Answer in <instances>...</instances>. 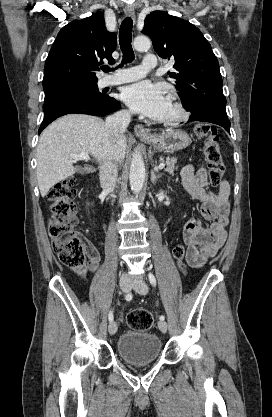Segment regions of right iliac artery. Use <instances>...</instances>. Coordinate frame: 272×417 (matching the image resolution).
<instances>
[{
  "label": "right iliac artery",
  "instance_id": "obj_1",
  "mask_svg": "<svg viewBox=\"0 0 272 417\" xmlns=\"http://www.w3.org/2000/svg\"><path fill=\"white\" fill-rule=\"evenodd\" d=\"M125 299H126L127 301H130V300L132 299V294H131V293L126 294V295H125ZM108 319H109V321H110V322H112V321H113V313H112V311H110V312H109V314H108Z\"/></svg>",
  "mask_w": 272,
  "mask_h": 417
}]
</instances>
